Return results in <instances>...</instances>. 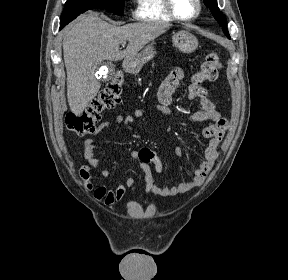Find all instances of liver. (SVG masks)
<instances>
[{"label": "liver", "instance_id": "obj_1", "mask_svg": "<svg viewBox=\"0 0 288 280\" xmlns=\"http://www.w3.org/2000/svg\"><path fill=\"white\" fill-rule=\"evenodd\" d=\"M169 26L151 22L116 26L95 12L80 16L63 39L71 111L81 115L97 95L101 84L94 73L103 60L119 61L135 56L146 44L165 33ZM126 41L128 45L121 51L119 46Z\"/></svg>", "mask_w": 288, "mask_h": 280}]
</instances>
